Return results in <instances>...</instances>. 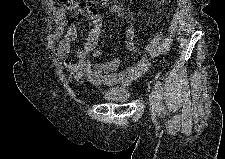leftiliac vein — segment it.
I'll use <instances>...</instances> for the list:
<instances>
[{
  "label": "left iliac vein",
  "mask_w": 225,
  "mask_h": 159,
  "mask_svg": "<svg viewBox=\"0 0 225 159\" xmlns=\"http://www.w3.org/2000/svg\"><path fill=\"white\" fill-rule=\"evenodd\" d=\"M149 100H150L152 115L156 116L157 113L160 111L159 110L160 109V101L157 97V94L154 91H152L150 93Z\"/></svg>",
  "instance_id": "1"
}]
</instances>
